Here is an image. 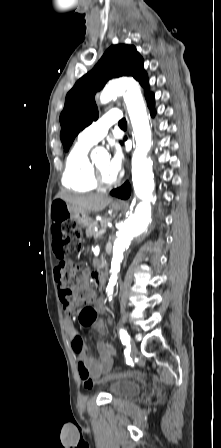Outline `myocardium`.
I'll use <instances>...</instances> for the list:
<instances>
[{"label":"myocardium","instance_id":"1","mask_svg":"<svg viewBox=\"0 0 221 448\" xmlns=\"http://www.w3.org/2000/svg\"><path fill=\"white\" fill-rule=\"evenodd\" d=\"M94 180L98 186L109 187L116 183V179H107L95 164H92Z\"/></svg>","mask_w":221,"mask_h":448}]
</instances>
